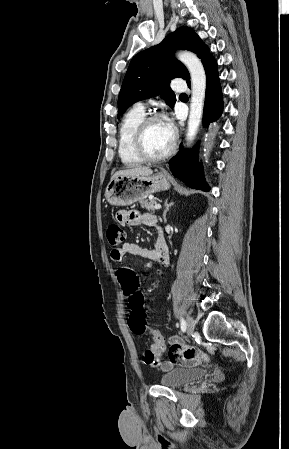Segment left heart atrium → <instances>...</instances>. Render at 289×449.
Returning a JSON list of instances; mask_svg holds the SVG:
<instances>
[{"mask_svg": "<svg viewBox=\"0 0 289 449\" xmlns=\"http://www.w3.org/2000/svg\"><path fill=\"white\" fill-rule=\"evenodd\" d=\"M166 124L170 128V130L173 132V128H172L171 124H169V123H166Z\"/></svg>", "mask_w": 289, "mask_h": 449, "instance_id": "obj_1", "label": "left heart atrium"}]
</instances>
